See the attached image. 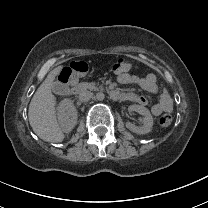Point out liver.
<instances>
[{
    "label": "liver",
    "mask_w": 208,
    "mask_h": 208,
    "mask_svg": "<svg viewBox=\"0 0 208 208\" xmlns=\"http://www.w3.org/2000/svg\"><path fill=\"white\" fill-rule=\"evenodd\" d=\"M63 65L53 68L32 97L28 109L30 126L43 141L61 143L65 135L56 115V96L52 93L53 82L63 69Z\"/></svg>",
    "instance_id": "liver-1"
}]
</instances>
